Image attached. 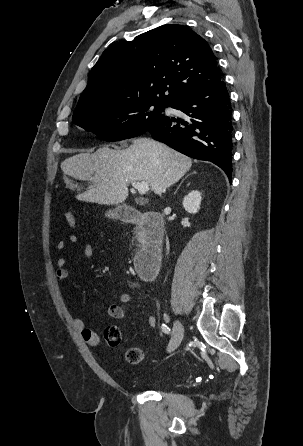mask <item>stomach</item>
Instances as JSON below:
<instances>
[{
    "label": "stomach",
    "instance_id": "1",
    "mask_svg": "<svg viewBox=\"0 0 303 446\" xmlns=\"http://www.w3.org/2000/svg\"><path fill=\"white\" fill-rule=\"evenodd\" d=\"M108 216H110V217H115L116 214H114L113 212H109V213H108Z\"/></svg>",
    "mask_w": 303,
    "mask_h": 446
}]
</instances>
